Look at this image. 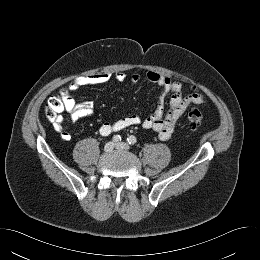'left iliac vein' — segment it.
Returning <instances> with one entry per match:
<instances>
[{"mask_svg": "<svg viewBox=\"0 0 260 260\" xmlns=\"http://www.w3.org/2000/svg\"><path fill=\"white\" fill-rule=\"evenodd\" d=\"M116 148L119 150H129V145L124 142H120L116 144Z\"/></svg>", "mask_w": 260, "mask_h": 260, "instance_id": "4c4485c4", "label": "left iliac vein"}]
</instances>
